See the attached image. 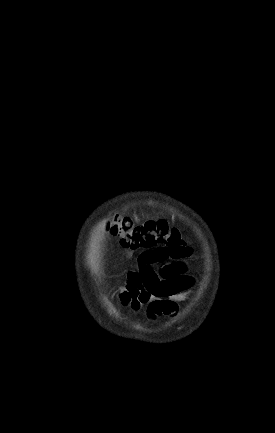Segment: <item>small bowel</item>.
<instances>
[{
    "mask_svg": "<svg viewBox=\"0 0 275 433\" xmlns=\"http://www.w3.org/2000/svg\"><path fill=\"white\" fill-rule=\"evenodd\" d=\"M130 255V253H128ZM164 248H154L138 255L137 266L126 274V282L119 287V300L123 306L135 311L146 309L150 318H173L178 303L195 285L187 274L184 262H166ZM159 264L158 268L154 265Z\"/></svg>",
    "mask_w": 275,
    "mask_h": 433,
    "instance_id": "small-bowel-1",
    "label": "small bowel"
}]
</instances>
